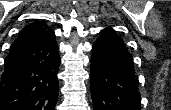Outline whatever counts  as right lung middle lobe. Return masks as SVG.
Masks as SVG:
<instances>
[{
	"label": "right lung middle lobe",
	"mask_w": 171,
	"mask_h": 110,
	"mask_svg": "<svg viewBox=\"0 0 171 110\" xmlns=\"http://www.w3.org/2000/svg\"><path fill=\"white\" fill-rule=\"evenodd\" d=\"M10 61H11V58H6L5 59V64L8 63V62H10Z\"/></svg>",
	"instance_id": "1"
}]
</instances>
